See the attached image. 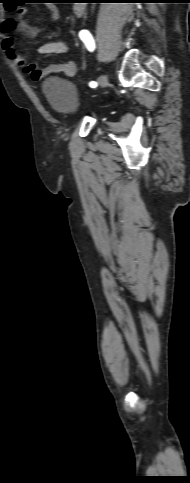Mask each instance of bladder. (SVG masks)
I'll list each match as a JSON object with an SVG mask.
<instances>
[{"label":"bladder","mask_w":190,"mask_h":483,"mask_svg":"<svg viewBox=\"0 0 190 483\" xmlns=\"http://www.w3.org/2000/svg\"><path fill=\"white\" fill-rule=\"evenodd\" d=\"M45 97L52 108L65 116H73L80 101L75 84L62 77L50 76L43 83Z\"/></svg>","instance_id":"31cf9c89"}]
</instances>
